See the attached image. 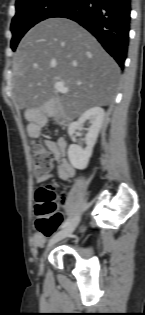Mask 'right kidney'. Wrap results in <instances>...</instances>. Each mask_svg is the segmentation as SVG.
<instances>
[{"mask_svg": "<svg viewBox=\"0 0 145 315\" xmlns=\"http://www.w3.org/2000/svg\"><path fill=\"white\" fill-rule=\"evenodd\" d=\"M105 112L101 107L95 106L85 111L77 120L68 126V134L72 136L77 129L89 120L91 123L90 128L85 137L86 148L83 149L77 144H72L68 149V157L72 166L76 169H85L92 156L93 147L96 144L98 134L102 127Z\"/></svg>", "mask_w": 145, "mask_h": 315, "instance_id": "obj_1", "label": "right kidney"}]
</instances>
